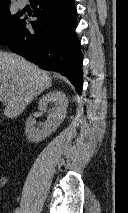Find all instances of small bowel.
Wrapping results in <instances>:
<instances>
[{
    "mask_svg": "<svg viewBox=\"0 0 128 213\" xmlns=\"http://www.w3.org/2000/svg\"><path fill=\"white\" fill-rule=\"evenodd\" d=\"M0 181H3V178L0 176ZM12 213H20V209L16 208Z\"/></svg>",
    "mask_w": 128,
    "mask_h": 213,
    "instance_id": "small-bowel-1",
    "label": "small bowel"
}]
</instances>
